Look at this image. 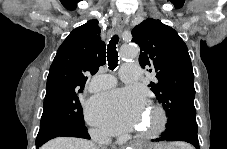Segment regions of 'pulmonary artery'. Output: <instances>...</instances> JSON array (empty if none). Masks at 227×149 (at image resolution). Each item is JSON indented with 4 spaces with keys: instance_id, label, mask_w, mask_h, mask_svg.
<instances>
[{
    "instance_id": "e3ab8cb5",
    "label": "pulmonary artery",
    "mask_w": 227,
    "mask_h": 149,
    "mask_svg": "<svg viewBox=\"0 0 227 149\" xmlns=\"http://www.w3.org/2000/svg\"><path fill=\"white\" fill-rule=\"evenodd\" d=\"M140 75L139 66L135 63L124 64L120 76L124 83H136ZM115 85V79L108 74H98L93 77L91 88L95 91L104 90Z\"/></svg>"
}]
</instances>
